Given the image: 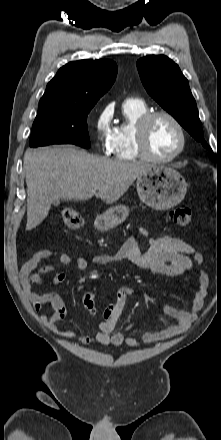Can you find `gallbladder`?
<instances>
[{
    "label": "gallbladder",
    "instance_id": "bac80fb5",
    "mask_svg": "<svg viewBox=\"0 0 221 440\" xmlns=\"http://www.w3.org/2000/svg\"><path fill=\"white\" fill-rule=\"evenodd\" d=\"M53 204H54L55 206H57V205H59V204H60V201H59V200H57V201H54V202H53Z\"/></svg>",
    "mask_w": 221,
    "mask_h": 440
}]
</instances>
